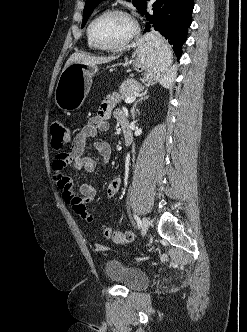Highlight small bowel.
Masks as SVG:
<instances>
[{
    "label": "small bowel",
    "instance_id": "c3829d8e",
    "mask_svg": "<svg viewBox=\"0 0 247 332\" xmlns=\"http://www.w3.org/2000/svg\"><path fill=\"white\" fill-rule=\"evenodd\" d=\"M117 96L111 95L106 98L98 111V114L89 119L88 123L75 136L70 151L60 152L55 156L52 165L53 179L62 193L64 201L71 206L73 211L83 220L92 221L93 215L88 210V204L94 199L97 188L94 185L82 183L79 192L74 190L72 178L67 174V168L71 165L75 170L93 172L96 168V161L85 154L88 142L95 138L100 131L108 129L107 119L117 103ZM117 120L125 116L121 109L115 110ZM94 147L98 152L102 163H107L111 156V147L107 142L97 141ZM122 179L113 178L106 188L107 199H113L121 188Z\"/></svg>",
    "mask_w": 247,
    "mask_h": 332
}]
</instances>
